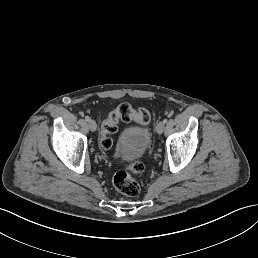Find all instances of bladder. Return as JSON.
<instances>
[{
  "label": "bladder",
  "mask_w": 258,
  "mask_h": 258,
  "mask_svg": "<svg viewBox=\"0 0 258 258\" xmlns=\"http://www.w3.org/2000/svg\"><path fill=\"white\" fill-rule=\"evenodd\" d=\"M150 143V132L144 126H132L120 135L121 155L127 160L143 156Z\"/></svg>",
  "instance_id": "1"
}]
</instances>
